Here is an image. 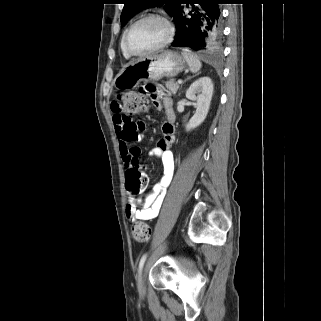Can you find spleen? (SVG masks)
<instances>
[{"label": "spleen", "instance_id": "1", "mask_svg": "<svg viewBox=\"0 0 321 321\" xmlns=\"http://www.w3.org/2000/svg\"><path fill=\"white\" fill-rule=\"evenodd\" d=\"M182 56L186 60L189 69L192 73H196L201 69L202 64L198 57L192 51L184 48L182 49Z\"/></svg>", "mask_w": 321, "mask_h": 321}]
</instances>
